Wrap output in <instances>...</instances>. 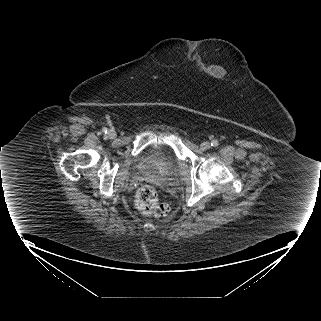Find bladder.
Wrapping results in <instances>:
<instances>
[{
  "label": "bladder",
  "instance_id": "bladder-1",
  "mask_svg": "<svg viewBox=\"0 0 321 321\" xmlns=\"http://www.w3.org/2000/svg\"><path fill=\"white\" fill-rule=\"evenodd\" d=\"M174 167L175 161L170 151L160 147L148 150L139 162L142 174L159 179L168 178Z\"/></svg>",
  "mask_w": 321,
  "mask_h": 321
}]
</instances>
